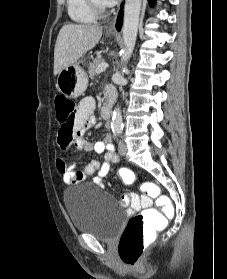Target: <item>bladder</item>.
<instances>
[{
  "mask_svg": "<svg viewBox=\"0 0 227 279\" xmlns=\"http://www.w3.org/2000/svg\"><path fill=\"white\" fill-rule=\"evenodd\" d=\"M65 209L76 231L100 241H112L121 232L124 216L117 199L103 196L96 187L79 185L63 194Z\"/></svg>",
  "mask_w": 227,
  "mask_h": 279,
  "instance_id": "bladder-1",
  "label": "bladder"
}]
</instances>
